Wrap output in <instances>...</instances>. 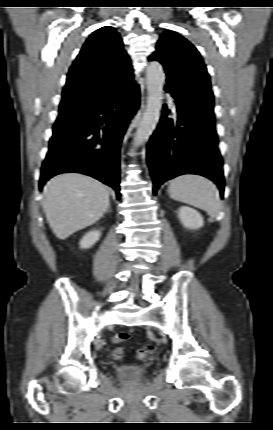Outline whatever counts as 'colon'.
I'll return each mask as SVG.
<instances>
[{
    "instance_id": "5ec220e1",
    "label": "colon",
    "mask_w": 273,
    "mask_h": 430,
    "mask_svg": "<svg viewBox=\"0 0 273 430\" xmlns=\"http://www.w3.org/2000/svg\"><path fill=\"white\" fill-rule=\"evenodd\" d=\"M130 339V334L128 332L122 331L117 333L113 337L114 343H122ZM154 353V347L152 345H146L141 348H139L136 351V358L139 360L146 359L150 357ZM114 357L117 359H120L124 355V350L122 348H116L113 352Z\"/></svg>"
}]
</instances>
